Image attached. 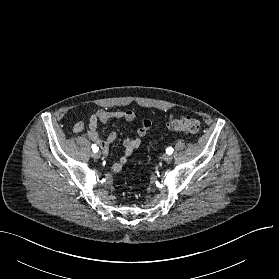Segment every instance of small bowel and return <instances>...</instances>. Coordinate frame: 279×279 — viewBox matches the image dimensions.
Wrapping results in <instances>:
<instances>
[{
  "label": "small bowel",
  "mask_w": 279,
  "mask_h": 279,
  "mask_svg": "<svg viewBox=\"0 0 279 279\" xmlns=\"http://www.w3.org/2000/svg\"><path fill=\"white\" fill-rule=\"evenodd\" d=\"M136 114L133 110H106L98 109L93 112L88 120L87 135L94 143H96L105 155L109 154L111 144L116 140V132H110L105 139H102L97 127L99 122H108L111 120H126L128 122L134 121ZM152 127V121L149 118H143L140 125L137 127V136L134 138H127L123 141L124 151L120 159L111 166L113 172H119L126 164L128 158L137 150L141 144L142 139L147 135ZM85 128L82 121L76 122L73 126L74 132H81ZM95 144V145H96Z\"/></svg>",
  "instance_id": "obj_1"
}]
</instances>
